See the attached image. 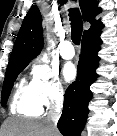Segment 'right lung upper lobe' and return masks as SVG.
<instances>
[{
    "label": "right lung upper lobe",
    "mask_w": 117,
    "mask_h": 136,
    "mask_svg": "<svg viewBox=\"0 0 117 136\" xmlns=\"http://www.w3.org/2000/svg\"><path fill=\"white\" fill-rule=\"evenodd\" d=\"M62 4L66 0H60ZM83 20L88 21L91 27L84 31L83 36L103 28L101 21L95 17L101 13L98 2L95 0H79ZM43 48L42 17L37 6H32L25 16L17 35L8 65L16 61L32 60Z\"/></svg>",
    "instance_id": "cb5924a9"
}]
</instances>
